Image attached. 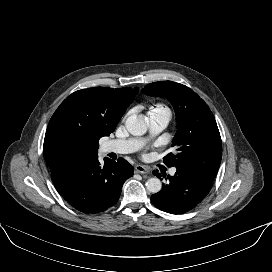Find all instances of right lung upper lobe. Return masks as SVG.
I'll return each mask as SVG.
<instances>
[{"mask_svg":"<svg viewBox=\"0 0 272 272\" xmlns=\"http://www.w3.org/2000/svg\"><path fill=\"white\" fill-rule=\"evenodd\" d=\"M137 92L138 88L95 87L69 95L46 130L43 153L50 170L97 156L99 139L114 131Z\"/></svg>","mask_w":272,"mask_h":272,"instance_id":"1","label":"right lung upper lobe"}]
</instances>
